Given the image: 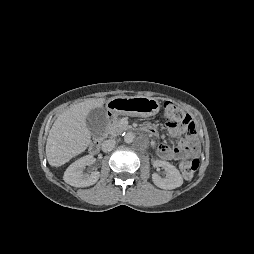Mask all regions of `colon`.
<instances>
[{"label": "colon", "instance_id": "obj_1", "mask_svg": "<svg viewBox=\"0 0 254 254\" xmlns=\"http://www.w3.org/2000/svg\"><path fill=\"white\" fill-rule=\"evenodd\" d=\"M163 115L168 127H184L189 136H193L196 133V125L190 115L174 103L166 102L164 104ZM198 165L199 161L195 157H184L179 161L180 171L186 179L193 177Z\"/></svg>", "mask_w": 254, "mask_h": 254}]
</instances>
